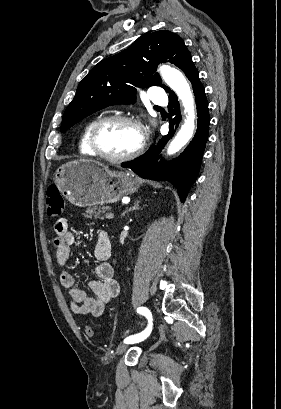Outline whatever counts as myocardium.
<instances>
[{"label":"myocardium","instance_id":"myocardium-1","mask_svg":"<svg viewBox=\"0 0 281 409\" xmlns=\"http://www.w3.org/2000/svg\"><path fill=\"white\" fill-rule=\"evenodd\" d=\"M114 122H123V123L130 124L133 127H135L140 134V143L138 147L128 154L117 156V157L109 156L105 154L101 150L100 143H99L100 134L103 128L107 126L108 124L114 123ZM146 142H147L146 133L141 123L138 120L132 117L126 116V115H109V116L103 117L97 122L96 126L94 127L93 133H92V147L96 155L111 163H123V162H127V161L137 158L144 152L145 147H146Z\"/></svg>","mask_w":281,"mask_h":409}]
</instances>
